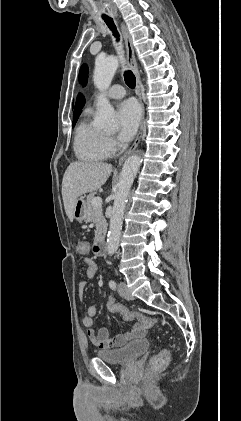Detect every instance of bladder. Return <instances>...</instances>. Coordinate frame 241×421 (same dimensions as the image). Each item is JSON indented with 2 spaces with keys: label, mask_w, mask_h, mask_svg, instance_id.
Listing matches in <instances>:
<instances>
[{
  "label": "bladder",
  "mask_w": 241,
  "mask_h": 421,
  "mask_svg": "<svg viewBox=\"0 0 241 421\" xmlns=\"http://www.w3.org/2000/svg\"><path fill=\"white\" fill-rule=\"evenodd\" d=\"M149 348L150 342L147 339H138L117 349L97 351L96 356L109 364L127 365L147 352Z\"/></svg>",
  "instance_id": "1"
}]
</instances>
